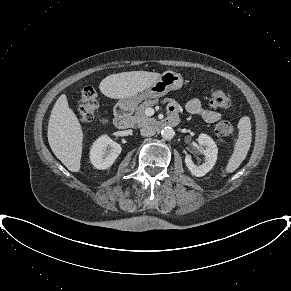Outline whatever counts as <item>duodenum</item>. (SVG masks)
<instances>
[{
    "instance_id": "duodenum-1",
    "label": "duodenum",
    "mask_w": 291,
    "mask_h": 291,
    "mask_svg": "<svg viewBox=\"0 0 291 291\" xmlns=\"http://www.w3.org/2000/svg\"><path fill=\"white\" fill-rule=\"evenodd\" d=\"M131 106L128 104H121L115 110L114 124L119 129H126L130 125ZM178 122L176 117H168L167 119L158 123L159 127L175 126Z\"/></svg>"
}]
</instances>
